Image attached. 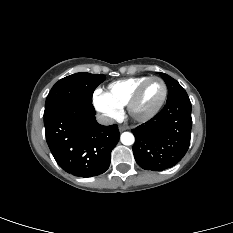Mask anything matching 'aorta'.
<instances>
[{
  "label": "aorta",
  "mask_w": 233,
  "mask_h": 233,
  "mask_svg": "<svg viewBox=\"0 0 233 233\" xmlns=\"http://www.w3.org/2000/svg\"><path fill=\"white\" fill-rule=\"evenodd\" d=\"M121 143L124 145H132L134 144L135 138L134 135L130 132H124L120 136Z\"/></svg>",
  "instance_id": "aorta-1"
}]
</instances>
